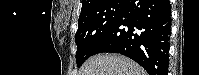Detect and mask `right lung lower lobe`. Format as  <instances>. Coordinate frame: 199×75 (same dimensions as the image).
Listing matches in <instances>:
<instances>
[{
  "instance_id": "98d812e1",
  "label": "right lung lower lobe",
  "mask_w": 199,
  "mask_h": 75,
  "mask_svg": "<svg viewBox=\"0 0 199 75\" xmlns=\"http://www.w3.org/2000/svg\"><path fill=\"white\" fill-rule=\"evenodd\" d=\"M170 14L169 0H127L93 55L120 53L140 64L149 75H168Z\"/></svg>"
}]
</instances>
